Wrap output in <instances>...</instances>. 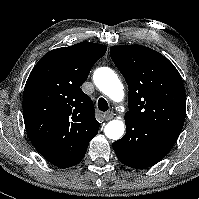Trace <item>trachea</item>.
I'll list each match as a JSON object with an SVG mask.
<instances>
[{
    "label": "trachea",
    "mask_w": 199,
    "mask_h": 199,
    "mask_svg": "<svg viewBox=\"0 0 199 199\" xmlns=\"http://www.w3.org/2000/svg\"><path fill=\"white\" fill-rule=\"evenodd\" d=\"M108 103L104 98H99L98 100V109L102 112H106L108 110Z\"/></svg>",
    "instance_id": "trachea-1"
}]
</instances>
